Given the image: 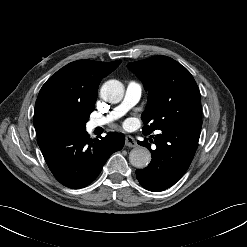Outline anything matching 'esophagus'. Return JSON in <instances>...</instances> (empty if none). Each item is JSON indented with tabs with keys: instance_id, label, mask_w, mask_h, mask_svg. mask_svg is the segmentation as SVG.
I'll return each mask as SVG.
<instances>
[{
	"instance_id": "obj_1",
	"label": "esophagus",
	"mask_w": 247,
	"mask_h": 247,
	"mask_svg": "<svg viewBox=\"0 0 247 247\" xmlns=\"http://www.w3.org/2000/svg\"><path fill=\"white\" fill-rule=\"evenodd\" d=\"M125 145L128 147H136L137 146V142L135 141V139L129 135H127L125 137Z\"/></svg>"
}]
</instances>
